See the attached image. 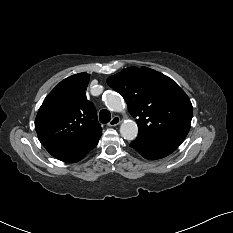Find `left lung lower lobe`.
Instances as JSON below:
<instances>
[{"label":"left lung lower lobe","instance_id":"1","mask_svg":"<svg viewBox=\"0 0 233 233\" xmlns=\"http://www.w3.org/2000/svg\"><path fill=\"white\" fill-rule=\"evenodd\" d=\"M130 146L134 148L138 153H140L144 158L149 160L166 157L177 148L176 145L145 138H136L130 144Z\"/></svg>","mask_w":233,"mask_h":233}]
</instances>
